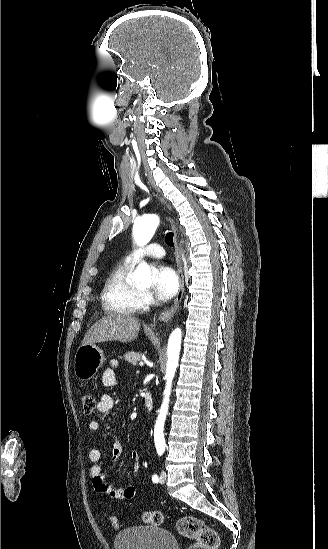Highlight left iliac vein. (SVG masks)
<instances>
[{
    "mask_svg": "<svg viewBox=\"0 0 328 549\" xmlns=\"http://www.w3.org/2000/svg\"><path fill=\"white\" fill-rule=\"evenodd\" d=\"M166 472L165 471H161V474H160V482L161 483H164L166 481Z\"/></svg>",
    "mask_w": 328,
    "mask_h": 549,
    "instance_id": "left-iliac-vein-1",
    "label": "left iliac vein"
}]
</instances>
